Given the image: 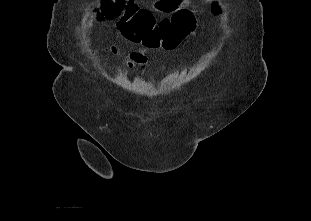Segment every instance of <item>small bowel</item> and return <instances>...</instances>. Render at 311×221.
<instances>
[{
    "instance_id": "obj_1",
    "label": "small bowel",
    "mask_w": 311,
    "mask_h": 221,
    "mask_svg": "<svg viewBox=\"0 0 311 221\" xmlns=\"http://www.w3.org/2000/svg\"><path fill=\"white\" fill-rule=\"evenodd\" d=\"M159 9V8H158ZM178 9V8H176ZM119 54V53H114ZM148 64V51L144 49H131L125 55L124 65L127 68H133L136 65L145 68Z\"/></svg>"
}]
</instances>
